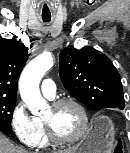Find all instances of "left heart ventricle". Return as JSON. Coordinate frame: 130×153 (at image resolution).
<instances>
[{
  "instance_id": "left-heart-ventricle-1",
  "label": "left heart ventricle",
  "mask_w": 130,
  "mask_h": 153,
  "mask_svg": "<svg viewBox=\"0 0 130 153\" xmlns=\"http://www.w3.org/2000/svg\"><path fill=\"white\" fill-rule=\"evenodd\" d=\"M46 118L50 119L56 133L64 138H72L81 128V115L72 105H64L58 109H48Z\"/></svg>"
}]
</instances>
